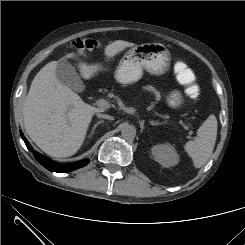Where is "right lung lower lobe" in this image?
Here are the masks:
<instances>
[{
    "mask_svg": "<svg viewBox=\"0 0 245 245\" xmlns=\"http://www.w3.org/2000/svg\"><path fill=\"white\" fill-rule=\"evenodd\" d=\"M20 135L22 139L24 140L27 148L33 153L35 156V159L45 168L52 172H59V173H65V172H70L73 170H76L78 168L84 167L89 163L88 159H84L75 163L71 164H60L57 162L52 161L51 159L43 156L42 154L36 152L33 150L27 139L24 137L23 133L20 131Z\"/></svg>",
    "mask_w": 245,
    "mask_h": 245,
    "instance_id": "obj_1",
    "label": "right lung lower lobe"
}]
</instances>
